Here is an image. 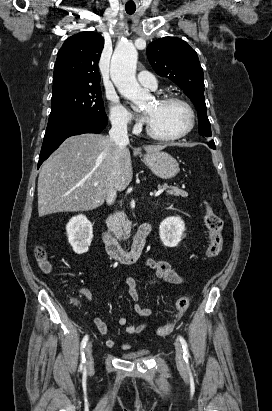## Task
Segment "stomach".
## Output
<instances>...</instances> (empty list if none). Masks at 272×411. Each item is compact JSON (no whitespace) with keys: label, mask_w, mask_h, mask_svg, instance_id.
<instances>
[{"label":"stomach","mask_w":272,"mask_h":411,"mask_svg":"<svg viewBox=\"0 0 272 411\" xmlns=\"http://www.w3.org/2000/svg\"><path fill=\"white\" fill-rule=\"evenodd\" d=\"M143 162L162 179H171L180 170L176 159L166 152L147 153L143 156Z\"/></svg>","instance_id":"0dacf381"}]
</instances>
